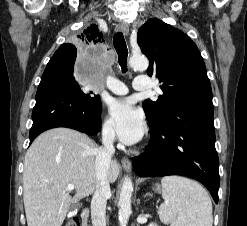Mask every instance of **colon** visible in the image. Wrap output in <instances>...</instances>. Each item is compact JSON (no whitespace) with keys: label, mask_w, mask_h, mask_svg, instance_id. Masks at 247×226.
<instances>
[{"label":"colon","mask_w":247,"mask_h":226,"mask_svg":"<svg viewBox=\"0 0 247 226\" xmlns=\"http://www.w3.org/2000/svg\"><path fill=\"white\" fill-rule=\"evenodd\" d=\"M65 226H81V223L78 218H73L69 222H67Z\"/></svg>","instance_id":"obj_1"}]
</instances>
